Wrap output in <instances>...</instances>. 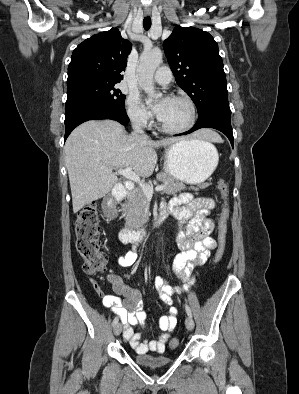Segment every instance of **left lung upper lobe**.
Returning a JSON list of instances; mask_svg holds the SVG:
<instances>
[{
    "label": "left lung upper lobe",
    "instance_id": "obj_1",
    "mask_svg": "<svg viewBox=\"0 0 299 394\" xmlns=\"http://www.w3.org/2000/svg\"><path fill=\"white\" fill-rule=\"evenodd\" d=\"M163 48L177 84L194 101L198 113L213 102L228 100L218 44L208 32L178 25Z\"/></svg>",
    "mask_w": 299,
    "mask_h": 394
}]
</instances>
